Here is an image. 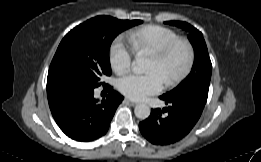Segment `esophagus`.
<instances>
[{"label":"esophagus","mask_w":261,"mask_h":162,"mask_svg":"<svg viewBox=\"0 0 261 162\" xmlns=\"http://www.w3.org/2000/svg\"><path fill=\"white\" fill-rule=\"evenodd\" d=\"M124 100H125V102L129 103V104L132 105V106L137 105L136 102H134V101H132V100H129V99H127V98H125Z\"/></svg>","instance_id":"34e87169"}]
</instances>
